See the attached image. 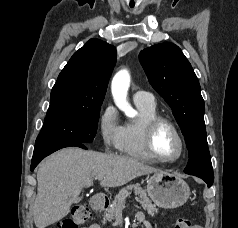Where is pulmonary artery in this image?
Segmentation results:
<instances>
[{"label":"pulmonary artery","instance_id":"e3ab8cb5","mask_svg":"<svg viewBox=\"0 0 238 228\" xmlns=\"http://www.w3.org/2000/svg\"><path fill=\"white\" fill-rule=\"evenodd\" d=\"M133 101L147 105L155 104L154 97L150 93L142 90H138L133 94Z\"/></svg>","mask_w":238,"mask_h":228}]
</instances>
